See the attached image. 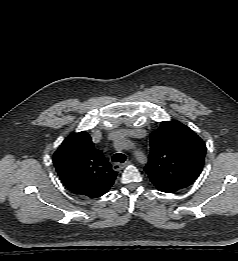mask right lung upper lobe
Listing matches in <instances>:
<instances>
[{
	"label": "right lung upper lobe",
	"instance_id": "cb5924a9",
	"mask_svg": "<svg viewBox=\"0 0 238 261\" xmlns=\"http://www.w3.org/2000/svg\"><path fill=\"white\" fill-rule=\"evenodd\" d=\"M53 163L70 191L89 198L105 194L117 175L86 131L70 134L54 153Z\"/></svg>",
	"mask_w": 238,
	"mask_h": 261
}]
</instances>
